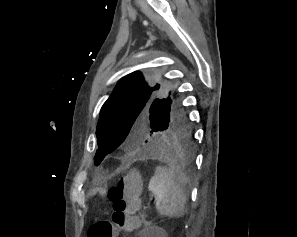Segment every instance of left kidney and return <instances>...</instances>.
I'll list each match as a JSON object with an SVG mask.
<instances>
[{
	"mask_svg": "<svg viewBox=\"0 0 297 237\" xmlns=\"http://www.w3.org/2000/svg\"><path fill=\"white\" fill-rule=\"evenodd\" d=\"M159 231H160V237H165L164 230L163 229H159Z\"/></svg>",
	"mask_w": 297,
	"mask_h": 237,
	"instance_id": "left-kidney-1",
	"label": "left kidney"
}]
</instances>
